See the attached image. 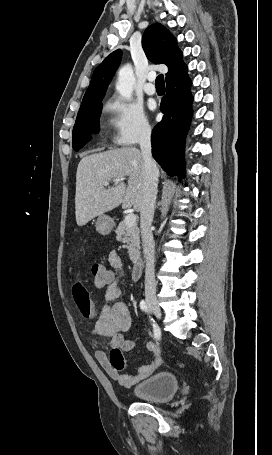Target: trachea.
<instances>
[{"label": "trachea", "mask_w": 272, "mask_h": 455, "mask_svg": "<svg viewBox=\"0 0 272 455\" xmlns=\"http://www.w3.org/2000/svg\"><path fill=\"white\" fill-rule=\"evenodd\" d=\"M155 85L156 87H165L164 76L162 74L157 76Z\"/></svg>", "instance_id": "3493384b"}]
</instances>
